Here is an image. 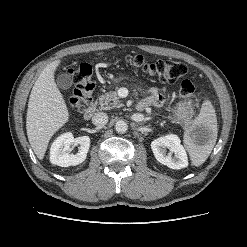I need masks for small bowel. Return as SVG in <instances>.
Masks as SVG:
<instances>
[{
  "label": "small bowel",
  "mask_w": 247,
  "mask_h": 247,
  "mask_svg": "<svg viewBox=\"0 0 247 247\" xmlns=\"http://www.w3.org/2000/svg\"><path fill=\"white\" fill-rule=\"evenodd\" d=\"M146 106L155 105L160 106L164 103V96L158 89H151L149 91V96L142 101Z\"/></svg>",
  "instance_id": "c3829d8e"
}]
</instances>
